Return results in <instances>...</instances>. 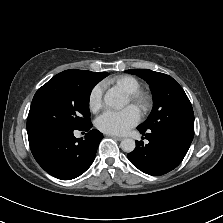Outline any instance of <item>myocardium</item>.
<instances>
[{"label":"myocardium","instance_id":"f54148a6","mask_svg":"<svg viewBox=\"0 0 223 223\" xmlns=\"http://www.w3.org/2000/svg\"><path fill=\"white\" fill-rule=\"evenodd\" d=\"M128 99L129 102L143 112L148 111L151 107V98L145 92L139 91L134 94H129Z\"/></svg>","mask_w":223,"mask_h":223}]
</instances>
